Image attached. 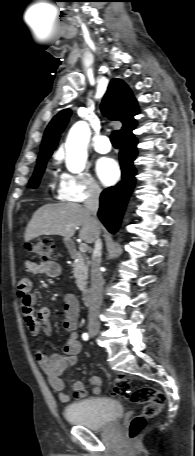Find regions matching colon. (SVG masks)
Wrapping results in <instances>:
<instances>
[{"label": "colon", "mask_w": 195, "mask_h": 456, "mask_svg": "<svg viewBox=\"0 0 195 456\" xmlns=\"http://www.w3.org/2000/svg\"><path fill=\"white\" fill-rule=\"evenodd\" d=\"M27 249L43 261H50L54 256L55 243L51 238H43L29 243ZM112 394L142 405L141 414L133 417L128 426V437L134 439L144 430L147 420L156 417L165 405L166 396L163 391L153 387H141L131 392V382L125 376H119L114 381Z\"/></svg>", "instance_id": "colon-1"}]
</instances>
